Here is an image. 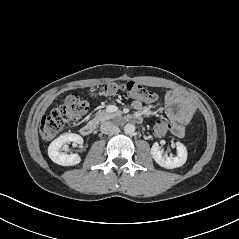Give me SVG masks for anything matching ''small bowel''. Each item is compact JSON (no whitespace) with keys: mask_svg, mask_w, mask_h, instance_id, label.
I'll return each mask as SVG.
<instances>
[{"mask_svg":"<svg viewBox=\"0 0 239 239\" xmlns=\"http://www.w3.org/2000/svg\"><path fill=\"white\" fill-rule=\"evenodd\" d=\"M167 116L169 117L171 133L177 137L185 135V127L195 114V108L189 98L178 91L168 92L163 99ZM135 116L141 117L143 105L139 100L132 103Z\"/></svg>","mask_w":239,"mask_h":239,"instance_id":"obj_1","label":"small bowel"}]
</instances>
